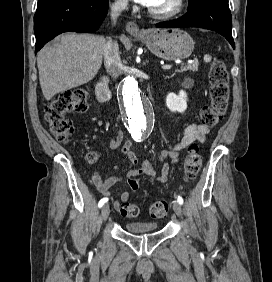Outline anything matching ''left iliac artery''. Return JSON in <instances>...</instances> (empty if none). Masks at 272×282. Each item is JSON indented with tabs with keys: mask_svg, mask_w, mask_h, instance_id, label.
<instances>
[{
	"mask_svg": "<svg viewBox=\"0 0 272 282\" xmlns=\"http://www.w3.org/2000/svg\"><path fill=\"white\" fill-rule=\"evenodd\" d=\"M177 202L182 205L183 204V199L182 197L178 196Z\"/></svg>",
	"mask_w": 272,
	"mask_h": 282,
	"instance_id": "44dca946",
	"label": "left iliac artery"
}]
</instances>
